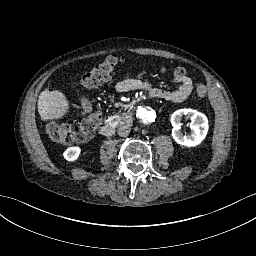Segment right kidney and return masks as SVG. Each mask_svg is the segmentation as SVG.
<instances>
[{"mask_svg": "<svg viewBox=\"0 0 256 256\" xmlns=\"http://www.w3.org/2000/svg\"><path fill=\"white\" fill-rule=\"evenodd\" d=\"M80 151L81 149L79 147H70L66 149L63 156L68 161H75L79 157Z\"/></svg>", "mask_w": 256, "mask_h": 256, "instance_id": "ca27d5eb", "label": "right kidney"}]
</instances>
